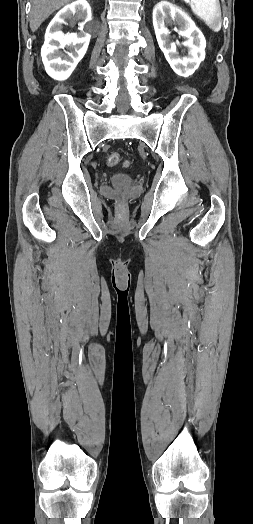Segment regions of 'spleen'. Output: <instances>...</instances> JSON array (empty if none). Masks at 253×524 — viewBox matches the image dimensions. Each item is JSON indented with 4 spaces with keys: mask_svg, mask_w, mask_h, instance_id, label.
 <instances>
[{
    "mask_svg": "<svg viewBox=\"0 0 253 524\" xmlns=\"http://www.w3.org/2000/svg\"><path fill=\"white\" fill-rule=\"evenodd\" d=\"M190 6L194 14L202 19L212 31H220L222 20L219 0H190Z\"/></svg>",
    "mask_w": 253,
    "mask_h": 524,
    "instance_id": "1",
    "label": "spleen"
}]
</instances>
